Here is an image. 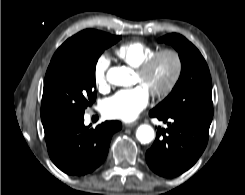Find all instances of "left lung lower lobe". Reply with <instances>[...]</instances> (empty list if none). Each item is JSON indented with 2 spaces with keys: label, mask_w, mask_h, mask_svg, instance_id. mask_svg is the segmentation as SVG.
<instances>
[{
  "label": "left lung lower lobe",
  "mask_w": 245,
  "mask_h": 195,
  "mask_svg": "<svg viewBox=\"0 0 245 195\" xmlns=\"http://www.w3.org/2000/svg\"><path fill=\"white\" fill-rule=\"evenodd\" d=\"M149 115L168 121L166 130L158 127L155 142L146 152L150 169L168 178L190 169L206 148L213 116L154 110Z\"/></svg>",
  "instance_id": "left-lung-lower-lobe-1"
}]
</instances>
